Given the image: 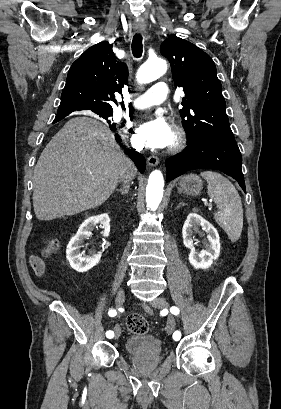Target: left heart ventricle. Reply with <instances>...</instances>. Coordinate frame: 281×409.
I'll return each instance as SVG.
<instances>
[{
    "mask_svg": "<svg viewBox=\"0 0 281 409\" xmlns=\"http://www.w3.org/2000/svg\"><path fill=\"white\" fill-rule=\"evenodd\" d=\"M172 138H173V136L171 137L170 143H171V141H172ZM170 143H169V144H170Z\"/></svg>",
    "mask_w": 281,
    "mask_h": 409,
    "instance_id": "1",
    "label": "left heart ventricle"
}]
</instances>
